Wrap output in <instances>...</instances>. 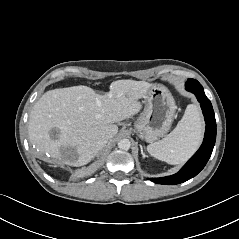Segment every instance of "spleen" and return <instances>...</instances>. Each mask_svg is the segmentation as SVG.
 Listing matches in <instances>:
<instances>
[{"mask_svg":"<svg viewBox=\"0 0 239 239\" xmlns=\"http://www.w3.org/2000/svg\"><path fill=\"white\" fill-rule=\"evenodd\" d=\"M203 125L196 105L189 104L175 129L165 138L147 146V151L158 160L171 165L187 161L199 147Z\"/></svg>","mask_w":239,"mask_h":239,"instance_id":"spleen-1","label":"spleen"}]
</instances>
